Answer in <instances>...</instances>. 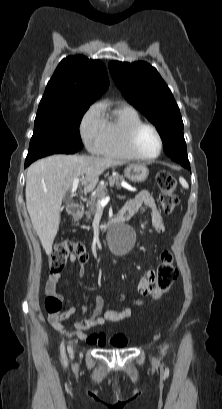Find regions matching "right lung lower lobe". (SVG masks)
Returning a JSON list of instances; mask_svg holds the SVG:
<instances>
[{"mask_svg": "<svg viewBox=\"0 0 222 409\" xmlns=\"http://www.w3.org/2000/svg\"><path fill=\"white\" fill-rule=\"evenodd\" d=\"M31 163H25V167L29 166Z\"/></svg>", "mask_w": 222, "mask_h": 409, "instance_id": "1", "label": "right lung lower lobe"}]
</instances>
